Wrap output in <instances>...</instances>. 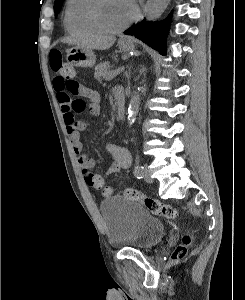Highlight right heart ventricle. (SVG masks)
<instances>
[{
	"instance_id": "right-heart-ventricle-1",
	"label": "right heart ventricle",
	"mask_w": 245,
	"mask_h": 300,
	"mask_svg": "<svg viewBox=\"0 0 245 300\" xmlns=\"http://www.w3.org/2000/svg\"><path fill=\"white\" fill-rule=\"evenodd\" d=\"M89 0H67L64 24L70 33L94 34L97 33L87 22L85 12Z\"/></svg>"
}]
</instances>
